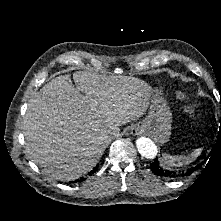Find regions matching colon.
<instances>
[{"mask_svg": "<svg viewBox=\"0 0 221 221\" xmlns=\"http://www.w3.org/2000/svg\"><path fill=\"white\" fill-rule=\"evenodd\" d=\"M183 98H185V97L183 96ZM198 109H199V104L194 101L188 102L185 107V110H186L187 114H189V115H195L197 113Z\"/></svg>", "mask_w": 221, "mask_h": 221, "instance_id": "colon-1", "label": "colon"}]
</instances>
